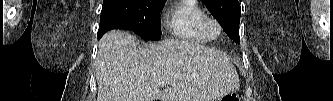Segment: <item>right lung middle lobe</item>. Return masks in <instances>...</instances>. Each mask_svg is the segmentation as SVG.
Masks as SVG:
<instances>
[{"label":"right lung middle lobe","mask_w":333,"mask_h":101,"mask_svg":"<svg viewBox=\"0 0 333 101\" xmlns=\"http://www.w3.org/2000/svg\"><path fill=\"white\" fill-rule=\"evenodd\" d=\"M166 0H103L105 10L115 11L144 40H160V12Z\"/></svg>","instance_id":"obj_1"}]
</instances>
